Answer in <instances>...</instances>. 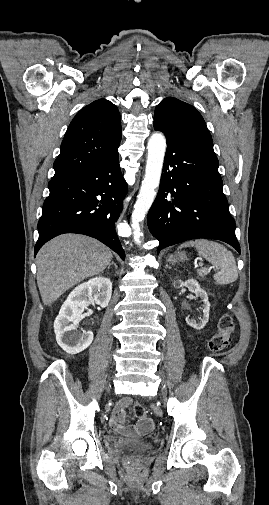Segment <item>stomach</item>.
<instances>
[{
    "label": "stomach",
    "instance_id": "0dacf381",
    "mask_svg": "<svg viewBox=\"0 0 269 505\" xmlns=\"http://www.w3.org/2000/svg\"><path fill=\"white\" fill-rule=\"evenodd\" d=\"M187 259V256L184 252H178L177 254L175 255H170L168 258H167V261L171 262V263H175L177 261H184Z\"/></svg>",
    "mask_w": 269,
    "mask_h": 505
}]
</instances>
